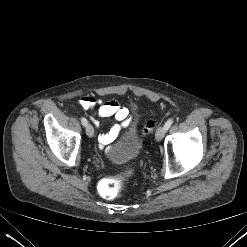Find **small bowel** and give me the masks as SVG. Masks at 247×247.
<instances>
[{"label": "small bowel", "instance_id": "small-bowel-1", "mask_svg": "<svg viewBox=\"0 0 247 247\" xmlns=\"http://www.w3.org/2000/svg\"><path fill=\"white\" fill-rule=\"evenodd\" d=\"M79 105L84 110H95V116L91 117L95 126H99L98 118L113 117L119 122L113 125L107 133L98 136L100 148L114 141L121 127H126L130 123L129 110L115 100L104 101L94 96H85L79 100Z\"/></svg>", "mask_w": 247, "mask_h": 247}]
</instances>
